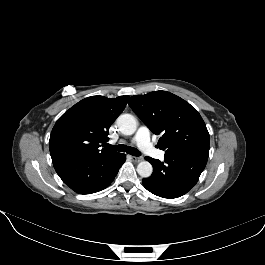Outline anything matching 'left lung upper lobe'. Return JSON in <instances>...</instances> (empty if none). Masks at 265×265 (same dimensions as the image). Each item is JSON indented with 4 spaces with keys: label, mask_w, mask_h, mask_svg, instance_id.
<instances>
[{
    "label": "left lung upper lobe",
    "mask_w": 265,
    "mask_h": 265,
    "mask_svg": "<svg viewBox=\"0 0 265 265\" xmlns=\"http://www.w3.org/2000/svg\"><path fill=\"white\" fill-rule=\"evenodd\" d=\"M128 104L153 133L162 134L158 146L165 154L209 146V133L202 117L182 98L154 91L132 96Z\"/></svg>",
    "instance_id": "5c2ea615"
}]
</instances>
